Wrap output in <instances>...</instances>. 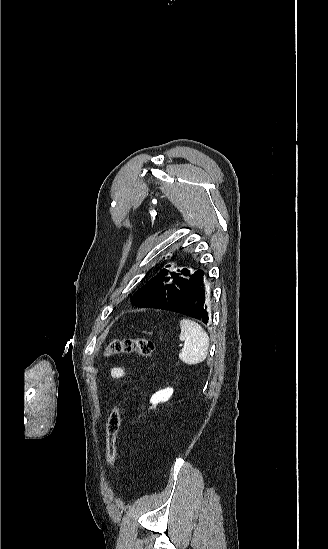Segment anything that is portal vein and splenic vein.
<instances>
[{
	"label": "portal vein and splenic vein",
	"mask_w": 328,
	"mask_h": 549,
	"mask_svg": "<svg viewBox=\"0 0 328 549\" xmlns=\"http://www.w3.org/2000/svg\"><path fill=\"white\" fill-rule=\"evenodd\" d=\"M179 347H183V344H179Z\"/></svg>",
	"instance_id": "portal-vein-and-splenic-vein-1"
}]
</instances>
